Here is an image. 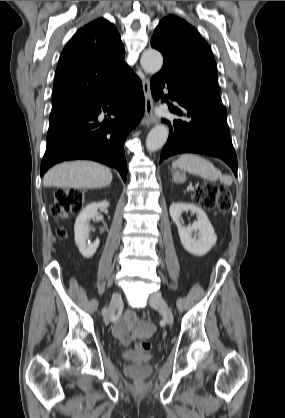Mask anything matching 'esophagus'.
<instances>
[{"label": "esophagus", "mask_w": 285, "mask_h": 418, "mask_svg": "<svg viewBox=\"0 0 285 418\" xmlns=\"http://www.w3.org/2000/svg\"><path fill=\"white\" fill-rule=\"evenodd\" d=\"M143 93L145 98V112L142 119V125L150 126L159 123V119L155 114L154 101L150 89V81L147 78L142 82Z\"/></svg>", "instance_id": "esophagus-1"}]
</instances>
